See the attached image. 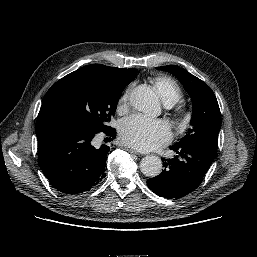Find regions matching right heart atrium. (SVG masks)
I'll return each mask as SVG.
<instances>
[{"instance_id":"right-heart-atrium-1","label":"right heart atrium","mask_w":257,"mask_h":257,"mask_svg":"<svg viewBox=\"0 0 257 257\" xmlns=\"http://www.w3.org/2000/svg\"><path fill=\"white\" fill-rule=\"evenodd\" d=\"M129 93H130V89H127L122 96L119 99V103H118V112L121 114H124L128 111V106H129Z\"/></svg>"}]
</instances>
